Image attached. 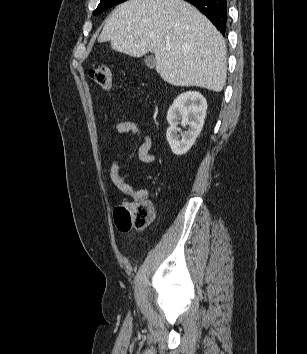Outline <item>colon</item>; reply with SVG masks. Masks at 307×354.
Listing matches in <instances>:
<instances>
[{"label": "colon", "instance_id": "colon-1", "mask_svg": "<svg viewBox=\"0 0 307 354\" xmlns=\"http://www.w3.org/2000/svg\"><path fill=\"white\" fill-rule=\"evenodd\" d=\"M91 79L101 88L109 90L112 85V69L100 65L90 70ZM153 217L152 205L148 200L124 201L114 210V221L121 231L145 227Z\"/></svg>", "mask_w": 307, "mask_h": 354}]
</instances>
